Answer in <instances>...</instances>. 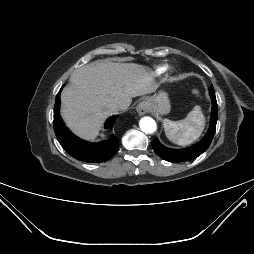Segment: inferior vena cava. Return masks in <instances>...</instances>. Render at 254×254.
I'll use <instances>...</instances> for the list:
<instances>
[{
	"instance_id": "1",
	"label": "inferior vena cava",
	"mask_w": 254,
	"mask_h": 254,
	"mask_svg": "<svg viewBox=\"0 0 254 254\" xmlns=\"http://www.w3.org/2000/svg\"><path fill=\"white\" fill-rule=\"evenodd\" d=\"M129 107V105L125 104V103H118L113 105L112 109L116 112L118 111H122V110H126Z\"/></svg>"
}]
</instances>
